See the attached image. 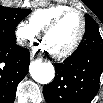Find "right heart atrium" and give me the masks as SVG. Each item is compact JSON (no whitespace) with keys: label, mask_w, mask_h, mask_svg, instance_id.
Masks as SVG:
<instances>
[{"label":"right heart atrium","mask_w":103,"mask_h":103,"mask_svg":"<svg viewBox=\"0 0 103 103\" xmlns=\"http://www.w3.org/2000/svg\"><path fill=\"white\" fill-rule=\"evenodd\" d=\"M39 32L30 24L24 21L19 22L15 28V36L18 44L26 46L37 38Z\"/></svg>","instance_id":"d8ad5b80"}]
</instances>
